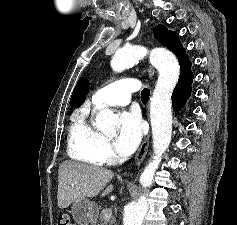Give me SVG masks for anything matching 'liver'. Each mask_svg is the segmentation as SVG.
I'll return each mask as SVG.
<instances>
[{
    "label": "liver",
    "mask_w": 237,
    "mask_h": 225,
    "mask_svg": "<svg viewBox=\"0 0 237 225\" xmlns=\"http://www.w3.org/2000/svg\"><path fill=\"white\" fill-rule=\"evenodd\" d=\"M113 176L111 170L102 167L72 161L62 162L58 170V207L64 209L78 199L97 196ZM113 189L114 186L109 185L102 196Z\"/></svg>",
    "instance_id": "obj_1"
}]
</instances>
